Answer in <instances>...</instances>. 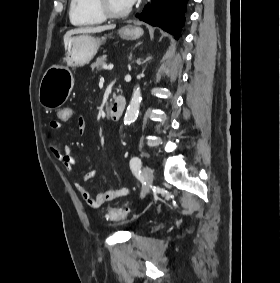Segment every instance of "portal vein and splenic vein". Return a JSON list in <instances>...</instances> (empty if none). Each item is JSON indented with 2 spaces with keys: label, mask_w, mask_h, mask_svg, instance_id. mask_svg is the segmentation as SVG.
Returning a JSON list of instances; mask_svg holds the SVG:
<instances>
[{
  "label": "portal vein and splenic vein",
  "mask_w": 280,
  "mask_h": 283,
  "mask_svg": "<svg viewBox=\"0 0 280 283\" xmlns=\"http://www.w3.org/2000/svg\"><path fill=\"white\" fill-rule=\"evenodd\" d=\"M113 65L112 64H110L108 67H106V69H108V70H112L113 69Z\"/></svg>",
  "instance_id": "obj_1"
}]
</instances>
